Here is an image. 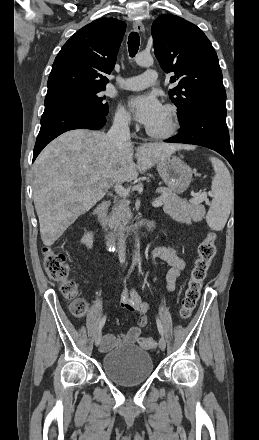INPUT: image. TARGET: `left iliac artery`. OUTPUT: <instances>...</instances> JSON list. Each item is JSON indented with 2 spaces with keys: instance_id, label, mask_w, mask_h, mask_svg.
<instances>
[{
  "instance_id": "44dca946",
  "label": "left iliac artery",
  "mask_w": 259,
  "mask_h": 440,
  "mask_svg": "<svg viewBox=\"0 0 259 440\" xmlns=\"http://www.w3.org/2000/svg\"><path fill=\"white\" fill-rule=\"evenodd\" d=\"M157 327H158L159 333L163 336V334H164L163 327H162V324L158 318H157Z\"/></svg>"
}]
</instances>
